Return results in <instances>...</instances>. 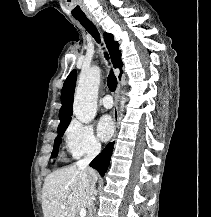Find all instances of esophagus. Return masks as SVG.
Returning a JSON list of instances; mask_svg holds the SVG:
<instances>
[{
  "label": "esophagus",
  "instance_id": "1",
  "mask_svg": "<svg viewBox=\"0 0 211 217\" xmlns=\"http://www.w3.org/2000/svg\"><path fill=\"white\" fill-rule=\"evenodd\" d=\"M87 16L96 26H98L96 19L91 14ZM119 93H120V85H118L116 93H115V106L113 110V118H114V123H115L114 139L116 138L118 127H119V110H118Z\"/></svg>",
  "mask_w": 211,
  "mask_h": 217
}]
</instances>
